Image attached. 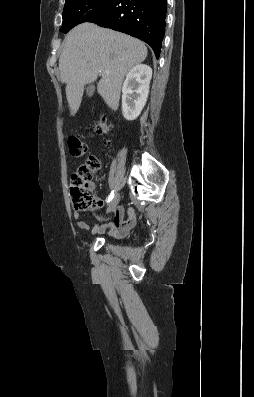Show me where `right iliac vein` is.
I'll return each mask as SVG.
<instances>
[{
	"label": "right iliac vein",
	"instance_id": "right-iliac-vein-1",
	"mask_svg": "<svg viewBox=\"0 0 254 397\" xmlns=\"http://www.w3.org/2000/svg\"><path fill=\"white\" fill-rule=\"evenodd\" d=\"M120 195L117 194L108 205L107 212H111L119 203Z\"/></svg>",
	"mask_w": 254,
	"mask_h": 397
}]
</instances>
